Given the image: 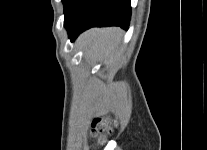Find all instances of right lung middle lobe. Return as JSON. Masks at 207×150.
<instances>
[{
    "label": "right lung middle lobe",
    "mask_w": 207,
    "mask_h": 150,
    "mask_svg": "<svg viewBox=\"0 0 207 150\" xmlns=\"http://www.w3.org/2000/svg\"><path fill=\"white\" fill-rule=\"evenodd\" d=\"M64 4V10L71 5V3L73 2V0H63L62 1Z\"/></svg>",
    "instance_id": "1"
}]
</instances>
